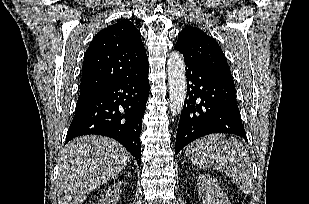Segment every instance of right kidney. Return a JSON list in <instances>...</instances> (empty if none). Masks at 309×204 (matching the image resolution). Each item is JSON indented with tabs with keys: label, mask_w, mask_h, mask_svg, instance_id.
<instances>
[{
	"label": "right kidney",
	"mask_w": 309,
	"mask_h": 204,
	"mask_svg": "<svg viewBox=\"0 0 309 204\" xmlns=\"http://www.w3.org/2000/svg\"><path fill=\"white\" fill-rule=\"evenodd\" d=\"M122 183H115L108 190L100 200V204H116L119 198V193L121 192Z\"/></svg>",
	"instance_id": "ca27d5eb"
}]
</instances>
